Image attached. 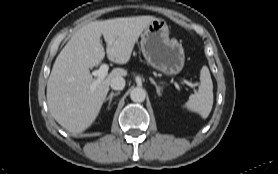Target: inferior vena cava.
<instances>
[{
    "mask_svg": "<svg viewBox=\"0 0 278 174\" xmlns=\"http://www.w3.org/2000/svg\"><path fill=\"white\" fill-rule=\"evenodd\" d=\"M110 86L114 90H123L125 87V80L123 77H115L111 80Z\"/></svg>",
    "mask_w": 278,
    "mask_h": 174,
    "instance_id": "inferior-vena-cava-1",
    "label": "inferior vena cava"
}]
</instances>
